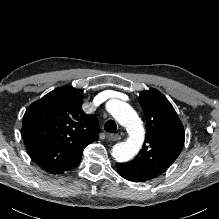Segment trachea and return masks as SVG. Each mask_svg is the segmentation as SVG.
<instances>
[{
	"label": "trachea",
	"instance_id": "trachea-1",
	"mask_svg": "<svg viewBox=\"0 0 219 219\" xmlns=\"http://www.w3.org/2000/svg\"><path fill=\"white\" fill-rule=\"evenodd\" d=\"M104 129L110 133H114L117 129V125L115 123V121L113 120H108L105 124H104Z\"/></svg>",
	"mask_w": 219,
	"mask_h": 219
}]
</instances>
